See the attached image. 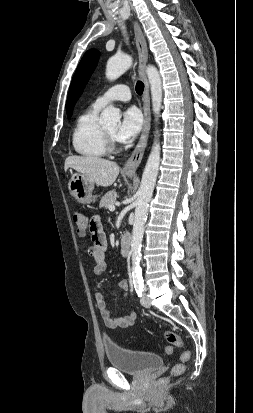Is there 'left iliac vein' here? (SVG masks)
Here are the masks:
<instances>
[{
    "mask_svg": "<svg viewBox=\"0 0 253 413\" xmlns=\"http://www.w3.org/2000/svg\"><path fill=\"white\" fill-rule=\"evenodd\" d=\"M140 301H141L142 306H144L145 308H149V307L151 306L149 297L147 296L146 293H144V294L142 295Z\"/></svg>",
    "mask_w": 253,
    "mask_h": 413,
    "instance_id": "obj_1",
    "label": "left iliac vein"
}]
</instances>
